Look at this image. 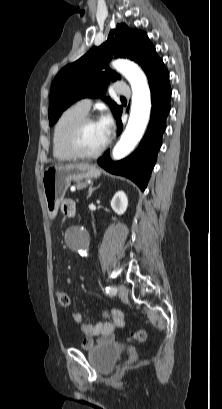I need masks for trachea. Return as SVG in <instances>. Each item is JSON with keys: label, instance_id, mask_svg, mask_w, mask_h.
I'll list each match as a JSON object with an SVG mask.
<instances>
[{"label": "trachea", "instance_id": "1", "mask_svg": "<svg viewBox=\"0 0 222 409\" xmlns=\"http://www.w3.org/2000/svg\"><path fill=\"white\" fill-rule=\"evenodd\" d=\"M121 99H125V97H121Z\"/></svg>", "mask_w": 222, "mask_h": 409}]
</instances>
